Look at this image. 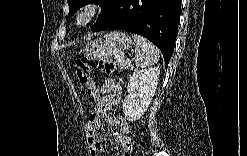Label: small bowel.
I'll return each instance as SVG.
<instances>
[{
  "instance_id": "obj_1",
  "label": "small bowel",
  "mask_w": 247,
  "mask_h": 156,
  "mask_svg": "<svg viewBox=\"0 0 247 156\" xmlns=\"http://www.w3.org/2000/svg\"><path fill=\"white\" fill-rule=\"evenodd\" d=\"M101 93L95 101H101V106H97V111L89 116V120L85 126V132L89 143V150L92 155L105 154L106 151L102 146V138L99 136L98 130L103 124L116 125L118 131L115 135L118 155H127L131 149V137L129 135V125L126 119L115 114L109 115L108 112L119 106L122 87L119 83L112 79L104 82Z\"/></svg>"
}]
</instances>
